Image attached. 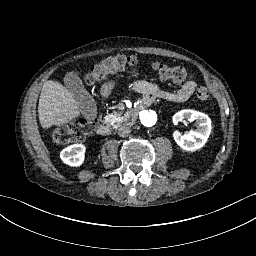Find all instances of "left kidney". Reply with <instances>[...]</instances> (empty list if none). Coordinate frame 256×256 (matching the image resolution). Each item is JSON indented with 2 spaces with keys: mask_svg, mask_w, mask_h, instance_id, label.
I'll use <instances>...</instances> for the list:
<instances>
[{
  "mask_svg": "<svg viewBox=\"0 0 256 256\" xmlns=\"http://www.w3.org/2000/svg\"><path fill=\"white\" fill-rule=\"evenodd\" d=\"M184 119H187L189 122L195 121L197 128L185 134L176 130L173 132V138L182 149L186 151H196L207 142L211 133V119L208 115L191 109L178 111L172 117L174 125H178V123L182 122Z\"/></svg>",
  "mask_w": 256,
  "mask_h": 256,
  "instance_id": "left-kidney-1",
  "label": "left kidney"
}]
</instances>
